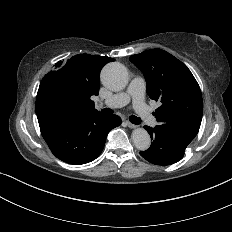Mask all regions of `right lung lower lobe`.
<instances>
[{
	"mask_svg": "<svg viewBox=\"0 0 232 232\" xmlns=\"http://www.w3.org/2000/svg\"><path fill=\"white\" fill-rule=\"evenodd\" d=\"M41 134L60 160L80 165L102 152L107 134L121 124L117 115L55 113L38 117Z\"/></svg>",
	"mask_w": 232,
	"mask_h": 232,
	"instance_id": "obj_1",
	"label": "right lung lower lobe"
}]
</instances>
